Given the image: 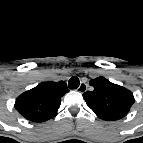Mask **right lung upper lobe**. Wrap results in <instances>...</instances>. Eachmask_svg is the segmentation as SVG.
I'll return each instance as SVG.
<instances>
[{
	"mask_svg": "<svg viewBox=\"0 0 143 143\" xmlns=\"http://www.w3.org/2000/svg\"><path fill=\"white\" fill-rule=\"evenodd\" d=\"M68 91L64 81L40 83L21 94L16 99L15 108L27 120L44 122L57 115L61 97Z\"/></svg>",
	"mask_w": 143,
	"mask_h": 143,
	"instance_id": "right-lung-upper-lobe-1",
	"label": "right lung upper lobe"
}]
</instances>
